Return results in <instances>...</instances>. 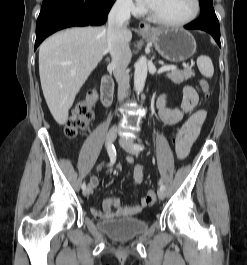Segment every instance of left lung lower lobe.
<instances>
[{
    "mask_svg": "<svg viewBox=\"0 0 247 265\" xmlns=\"http://www.w3.org/2000/svg\"><path fill=\"white\" fill-rule=\"evenodd\" d=\"M201 13L197 20L185 25L186 29H199L210 33L215 41L220 44L219 21L213 9L212 0H200Z\"/></svg>",
    "mask_w": 247,
    "mask_h": 265,
    "instance_id": "0a47b994",
    "label": "left lung lower lobe"
}]
</instances>
